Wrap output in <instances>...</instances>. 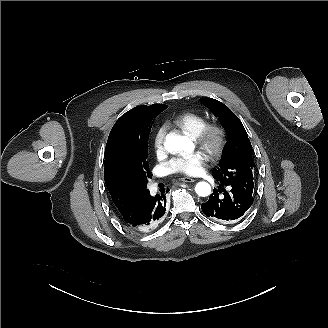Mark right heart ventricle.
Returning a JSON list of instances; mask_svg holds the SVG:
<instances>
[{"mask_svg":"<svg viewBox=\"0 0 328 328\" xmlns=\"http://www.w3.org/2000/svg\"><path fill=\"white\" fill-rule=\"evenodd\" d=\"M206 122L207 119L197 113H185L173 119V123L188 136H197Z\"/></svg>","mask_w":328,"mask_h":328,"instance_id":"e07e8e85","label":"right heart ventricle"}]
</instances>
